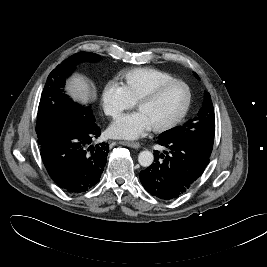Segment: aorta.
Here are the masks:
<instances>
[{
    "label": "aorta",
    "mask_w": 267,
    "mask_h": 267,
    "mask_svg": "<svg viewBox=\"0 0 267 267\" xmlns=\"http://www.w3.org/2000/svg\"><path fill=\"white\" fill-rule=\"evenodd\" d=\"M154 160L152 152L148 150L141 151L138 155V162L143 167H149Z\"/></svg>",
    "instance_id": "762f6f07"
}]
</instances>
